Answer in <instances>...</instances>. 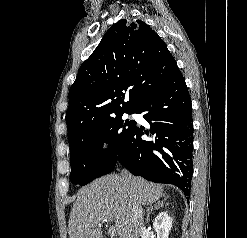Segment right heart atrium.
<instances>
[{"instance_id": "d8ad5b80", "label": "right heart atrium", "mask_w": 247, "mask_h": 238, "mask_svg": "<svg viewBox=\"0 0 247 238\" xmlns=\"http://www.w3.org/2000/svg\"><path fill=\"white\" fill-rule=\"evenodd\" d=\"M98 150L103 156L109 155L111 151V144L108 138L104 137L99 141Z\"/></svg>"}]
</instances>
